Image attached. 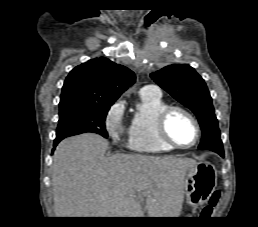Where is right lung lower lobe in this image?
<instances>
[{
    "label": "right lung lower lobe",
    "mask_w": 258,
    "mask_h": 227,
    "mask_svg": "<svg viewBox=\"0 0 258 227\" xmlns=\"http://www.w3.org/2000/svg\"><path fill=\"white\" fill-rule=\"evenodd\" d=\"M62 140V138H56L55 140H54V147H56V145L60 142Z\"/></svg>",
    "instance_id": "right-lung-lower-lobe-1"
}]
</instances>
